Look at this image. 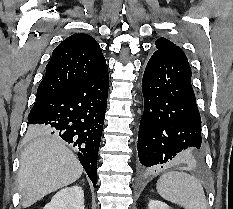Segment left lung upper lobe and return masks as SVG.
I'll return each mask as SVG.
<instances>
[{
  "instance_id": "1",
  "label": "left lung upper lobe",
  "mask_w": 233,
  "mask_h": 209,
  "mask_svg": "<svg viewBox=\"0 0 233 209\" xmlns=\"http://www.w3.org/2000/svg\"><path fill=\"white\" fill-rule=\"evenodd\" d=\"M155 44H156V47L158 49L155 53L166 54V55H169L171 57H175V58H178L180 60L188 62L185 53L178 46H176L173 42H171L170 40H168L164 37H161V38L157 39Z\"/></svg>"
}]
</instances>
